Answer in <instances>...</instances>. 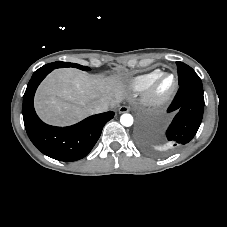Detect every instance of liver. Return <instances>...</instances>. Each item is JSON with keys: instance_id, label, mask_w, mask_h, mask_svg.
<instances>
[{"instance_id": "1", "label": "liver", "mask_w": 227, "mask_h": 227, "mask_svg": "<svg viewBox=\"0 0 227 227\" xmlns=\"http://www.w3.org/2000/svg\"><path fill=\"white\" fill-rule=\"evenodd\" d=\"M124 94V83L117 76L102 77L76 69H58L39 86L35 109L49 124L69 125L93 114L95 103L106 101L113 107Z\"/></svg>"}]
</instances>
